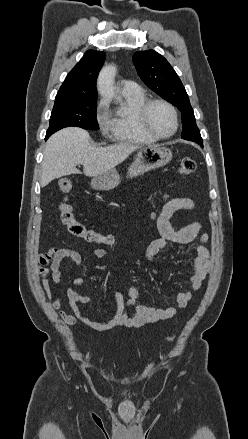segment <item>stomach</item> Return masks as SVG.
<instances>
[{"mask_svg": "<svg viewBox=\"0 0 248 439\" xmlns=\"http://www.w3.org/2000/svg\"><path fill=\"white\" fill-rule=\"evenodd\" d=\"M172 151L160 145H150L140 147L135 160L128 169V176L135 177L149 170L156 169L168 164L172 159ZM120 183L119 173L109 170L101 175L95 176L91 181V186L97 190H112Z\"/></svg>", "mask_w": 248, "mask_h": 439, "instance_id": "0dacf381", "label": "stomach"}]
</instances>
